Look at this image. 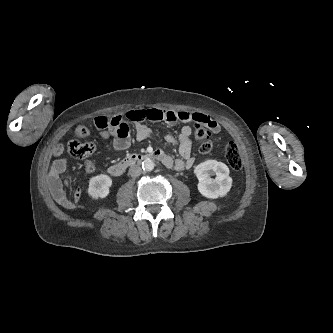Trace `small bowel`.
I'll return each instance as SVG.
<instances>
[{
	"instance_id": "obj_1",
	"label": "small bowel",
	"mask_w": 333,
	"mask_h": 333,
	"mask_svg": "<svg viewBox=\"0 0 333 333\" xmlns=\"http://www.w3.org/2000/svg\"><path fill=\"white\" fill-rule=\"evenodd\" d=\"M128 124H132L134 127L135 137L138 141H144L153 136L151 128L146 126L143 122L148 121H159L156 117H160V120L165 121L170 125L179 123L189 124L197 123L205 126L212 133H219L221 128L220 125L208 115L201 112H190L183 110H162L159 108L150 109H134L128 111L126 114ZM89 132L79 137H86ZM192 128L189 125H185L180 130L178 136L167 134L165 138L178 145V152L180 158L173 160L169 155L163 153L166 158V162L163 163L168 168H174L177 171L184 169H190L194 165V158L191 155L192 141H191ZM103 138H112L113 145L117 150H124L128 148L131 141L130 131L126 134H120L112 129H103L101 131ZM84 167L87 173H93L95 165L92 161L86 160ZM67 169V160L65 158L56 159L50 166L48 173V185L54 199L64 207H70L76 203L81 196L80 189L74 190L70 196L65 191L64 182L61 179V174Z\"/></svg>"
}]
</instances>
